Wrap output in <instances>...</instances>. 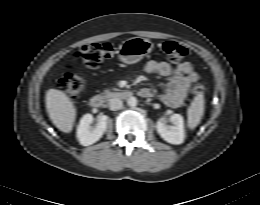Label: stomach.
<instances>
[{"label": "stomach", "instance_id": "stomach-1", "mask_svg": "<svg viewBox=\"0 0 260 205\" xmlns=\"http://www.w3.org/2000/svg\"><path fill=\"white\" fill-rule=\"evenodd\" d=\"M153 47L152 42L148 39L133 37L120 44L118 48V57L126 64H134L149 54Z\"/></svg>", "mask_w": 260, "mask_h": 205}]
</instances>
